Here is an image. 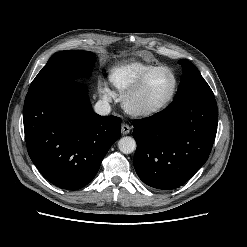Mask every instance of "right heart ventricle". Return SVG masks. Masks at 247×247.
<instances>
[{
    "label": "right heart ventricle",
    "instance_id": "e07e8e85",
    "mask_svg": "<svg viewBox=\"0 0 247 247\" xmlns=\"http://www.w3.org/2000/svg\"><path fill=\"white\" fill-rule=\"evenodd\" d=\"M154 65L144 61H128L113 66L109 71V82L120 93H125L137 78Z\"/></svg>",
    "mask_w": 247,
    "mask_h": 247
}]
</instances>
